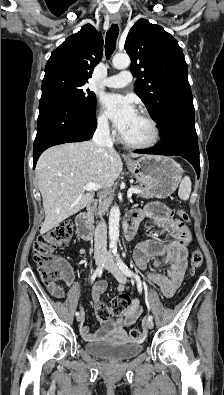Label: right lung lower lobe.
<instances>
[{"mask_svg": "<svg viewBox=\"0 0 224 395\" xmlns=\"http://www.w3.org/2000/svg\"><path fill=\"white\" fill-rule=\"evenodd\" d=\"M95 129V109L77 108L56 95L42 94L33 147V168L41 153L47 148L88 140Z\"/></svg>", "mask_w": 224, "mask_h": 395, "instance_id": "right-lung-lower-lobe-1", "label": "right lung lower lobe"}]
</instances>
